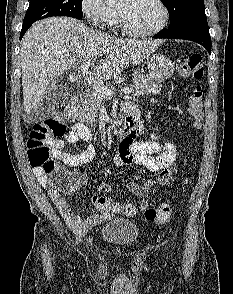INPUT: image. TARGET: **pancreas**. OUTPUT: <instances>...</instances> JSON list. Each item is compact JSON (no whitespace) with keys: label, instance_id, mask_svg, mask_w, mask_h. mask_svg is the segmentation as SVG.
Here are the masks:
<instances>
[{"label":"pancreas","instance_id":"obj_1","mask_svg":"<svg viewBox=\"0 0 233 294\" xmlns=\"http://www.w3.org/2000/svg\"><path fill=\"white\" fill-rule=\"evenodd\" d=\"M133 81L135 96H144L151 93L156 94L161 91V84L143 74H134ZM106 99L107 97L98 93L95 89L89 90L80 106L81 119L91 127H96L98 124V112L104 105Z\"/></svg>","mask_w":233,"mask_h":294}]
</instances>
